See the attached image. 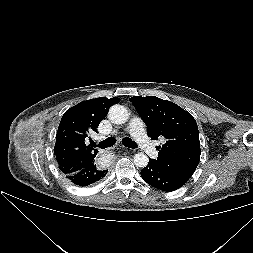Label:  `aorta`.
Returning <instances> with one entry per match:
<instances>
[{
    "label": "aorta",
    "mask_w": 253,
    "mask_h": 253,
    "mask_svg": "<svg viewBox=\"0 0 253 253\" xmlns=\"http://www.w3.org/2000/svg\"><path fill=\"white\" fill-rule=\"evenodd\" d=\"M108 117L111 120V122L115 124H124L129 119V113L128 110L119 104L113 105L108 112ZM148 157L144 153H137L134 156V164L137 167L144 168L148 164Z\"/></svg>",
    "instance_id": "aorta-1"
}]
</instances>
